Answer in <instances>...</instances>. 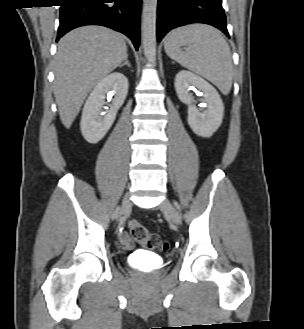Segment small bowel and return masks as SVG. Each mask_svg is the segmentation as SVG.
Masks as SVG:
<instances>
[{
    "label": "small bowel",
    "instance_id": "c3829d8e",
    "mask_svg": "<svg viewBox=\"0 0 304 329\" xmlns=\"http://www.w3.org/2000/svg\"><path fill=\"white\" fill-rule=\"evenodd\" d=\"M120 242L123 245V247L125 249H132L133 248V242L131 241V239L129 238V236L125 233L121 234L120 236Z\"/></svg>",
    "mask_w": 304,
    "mask_h": 329
}]
</instances>
